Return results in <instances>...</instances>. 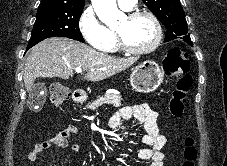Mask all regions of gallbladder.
Listing matches in <instances>:
<instances>
[{
	"label": "gallbladder",
	"mask_w": 227,
	"mask_h": 166,
	"mask_svg": "<svg viewBox=\"0 0 227 166\" xmlns=\"http://www.w3.org/2000/svg\"><path fill=\"white\" fill-rule=\"evenodd\" d=\"M47 95V90L44 82H38L35 83L30 91H29V97L27 100V105L29 109L36 110V107L38 109H41L45 103Z\"/></svg>",
	"instance_id": "bac80fb5"
}]
</instances>
